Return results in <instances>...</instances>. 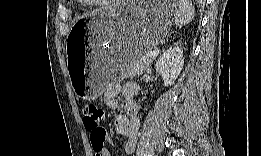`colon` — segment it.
Listing matches in <instances>:
<instances>
[{
	"label": "colon",
	"mask_w": 261,
	"mask_h": 156,
	"mask_svg": "<svg viewBox=\"0 0 261 156\" xmlns=\"http://www.w3.org/2000/svg\"><path fill=\"white\" fill-rule=\"evenodd\" d=\"M81 112L84 127L90 133L92 148L98 152L104 144L106 135L101 126L104 117L103 109L95 104L86 103L81 106Z\"/></svg>",
	"instance_id": "1"
}]
</instances>
